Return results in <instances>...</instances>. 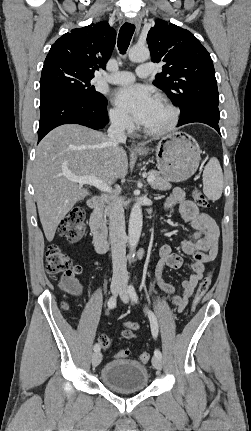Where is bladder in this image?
Masks as SVG:
<instances>
[{"label": "bladder", "mask_w": 251, "mask_h": 431, "mask_svg": "<svg viewBox=\"0 0 251 431\" xmlns=\"http://www.w3.org/2000/svg\"><path fill=\"white\" fill-rule=\"evenodd\" d=\"M100 379L115 392L134 393L147 387L149 372L146 366L136 360L117 359L103 366Z\"/></svg>", "instance_id": "31cf9c89"}]
</instances>
